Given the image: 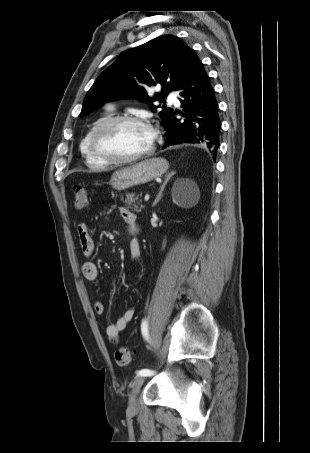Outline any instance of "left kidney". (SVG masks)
I'll use <instances>...</instances> for the list:
<instances>
[{
	"label": "left kidney",
	"mask_w": 310,
	"mask_h": 453,
	"mask_svg": "<svg viewBox=\"0 0 310 453\" xmlns=\"http://www.w3.org/2000/svg\"><path fill=\"white\" fill-rule=\"evenodd\" d=\"M196 191V189L193 186L188 187L183 193L184 195L180 196H175L174 197V202L176 204H183L186 203L187 198Z\"/></svg>",
	"instance_id": "5707ae66"
}]
</instances>
